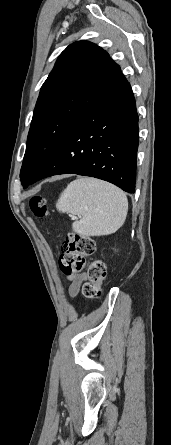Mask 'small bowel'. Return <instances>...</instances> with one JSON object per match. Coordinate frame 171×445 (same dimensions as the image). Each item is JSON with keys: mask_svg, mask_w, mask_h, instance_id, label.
<instances>
[{"mask_svg": "<svg viewBox=\"0 0 171 445\" xmlns=\"http://www.w3.org/2000/svg\"><path fill=\"white\" fill-rule=\"evenodd\" d=\"M69 281L68 291L69 295L74 298L78 295L82 283L86 280L87 275L84 272H75L70 274H65Z\"/></svg>", "mask_w": 171, "mask_h": 445, "instance_id": "obj_1", "label": "small bowel"}]
</instances>
